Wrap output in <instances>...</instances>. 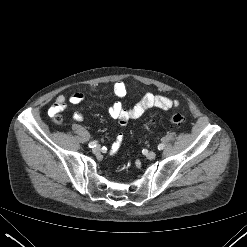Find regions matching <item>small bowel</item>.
<instances>
[{"label": "small bowel", "mask_w": 247, "mask_h": 247, "mask_svg": "<svg viewBox=\"0 0 247 247\" xmlns=\"http://www.w3.org/2000/svg\"><path fill=\"white\" fill-rule=\"evenodd\" d=\"M95 90V87H92ZM113 93L119 99H122L127 94V88L124 82L118 81L114 83L112 87ZM85 97L82 93H74L68 99L65 95H58L55 99L54 104L50 107V115H56L62 112L66 108L67 101L74 105L81 104ZM179 102L166 96H159L153 93L145 94L136 104L130 108H125L121 101H116L108 108V114L113 119H116L121 126H125L130 120H136L140 118L150 108H157L162 111H167L171 108L177 107ZM84 118L81 112H75L73 119L75 121H82ZM123 141V135L120 133L116 136L113 142L110 154H115Z\"/></svg>", "instance_id": "small-bowel-1"}]
</instances>
